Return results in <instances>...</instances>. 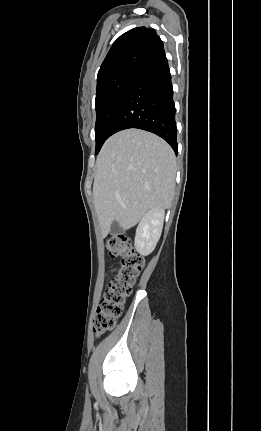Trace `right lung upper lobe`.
<instances>
[{
    "label": "right lung upper lobe",
    "instance_id": "cb5924a9",
    "mask_svg": "<svg viewBox=\"0 0 261 431\" xmlns=\"http://www.w3.org/2000/svg\"><path fill=\"white\" fill-rule=\"evenodd\" d=\"M163 54V42L154 29H131L121 35L110 48L98 71L97 86L123 72L140 71Z\"/></svg>",
    "mask_w": 261,
    "mask_h": 431
}]
</instances>
